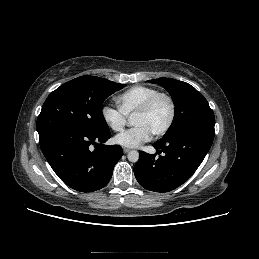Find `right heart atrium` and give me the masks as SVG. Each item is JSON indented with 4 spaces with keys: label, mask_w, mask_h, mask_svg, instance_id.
<instances>
[{
    "label": "right heart atrium",
    "mask_w": 259,
    "mask_h": 259,
    "mask_svg": "<svg viewBox=\"0 0 259 259\" xmlns=\"http://www.w3.org/2000/svg\"><path fill=\"white\" fill-rule=\"evenodd\" d=\"M101 116L106 125L113 131L123 130L127 122V116L119 109L110 105H103Z\"/></svg>",
    "instance_id": "right-heart-atrium-1"
}]
</instances>
